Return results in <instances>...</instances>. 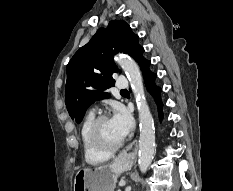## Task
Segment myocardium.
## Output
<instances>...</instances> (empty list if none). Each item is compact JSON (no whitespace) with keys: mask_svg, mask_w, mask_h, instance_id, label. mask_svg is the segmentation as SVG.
I'll return each mask as SVG.
<instances>
[{"mask_svg":"<svg viewBox=\"0 0 233 191\" xmlns=\"http://www.w3.org/2000/svg\"><path fill=\"white\" fill-rule=\"evenodd\" d=\"M107 119H109V117L106 114H101L92 120L88 129V142L95 151L111 155L122 147L123 140L112 146H108L102 142L99 136V127L101 123Z\"/></svg>","mask_w":233,"mask_h":191,"instance_id":"myocardium-1","label":"myocardium"}]
</instances>
